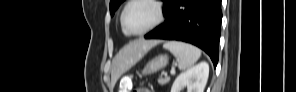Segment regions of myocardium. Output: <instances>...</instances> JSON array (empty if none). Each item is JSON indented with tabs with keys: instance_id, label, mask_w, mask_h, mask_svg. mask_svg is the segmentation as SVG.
Here are the masks:
<instances>
[{
	"instance_id": "obj_1",
	"label": "myocardium",
	"mask_w": 296,
	"mask_h": 92,
	"mask_svg": "<svg viewBox=\"0 0 296 92\" xmlns=\"http://www.w3.org/2000/svg\"><path fill=\"white\" fill-rule=\"evenodd\" d=\"M135 2H148V3L152 4L155 7L156 15H157L155 21L149 27H147L146 29H144L142 31H138V32L129 31L125 25V13H126L128 7ZM163 18H164V10H163L162 4L159 1H156V0H130L127 2L125 7L123 8V11L120 16V23H121L122 30L124 31L125 34L130 35V36H142V35L147 34L150 31H152L157 26H159L160 23L163 21Z\"/></svg>"
}]
</instances>
